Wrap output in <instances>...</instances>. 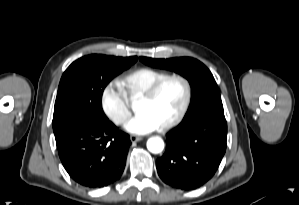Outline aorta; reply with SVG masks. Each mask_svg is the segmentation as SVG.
I'll return each instance as SVG.
<instances>
[{"label":"aorta","instance_id":"1","mask_svg":"<svg viewBox=\"0 0 299 205\" xmlns=\"http://www.w3.org/2000/svg\"><path fill=\"white\" fill-rule=\"evenodd\" d=\"M147 148L151 153H160L164 149V141L160 137H151L147 141Z\"/></svg>","mask_w":299,"mask_h":205}]
</instances>
